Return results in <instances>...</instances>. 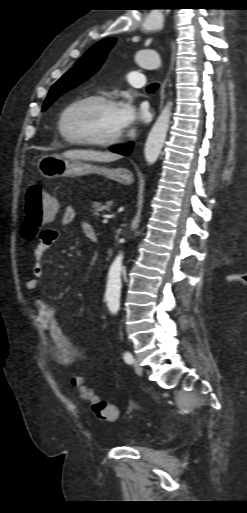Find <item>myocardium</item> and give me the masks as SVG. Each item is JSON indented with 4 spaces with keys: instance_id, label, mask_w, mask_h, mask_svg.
<instances>
[{
    "instance_id": "f54148a6",
    "label": "myocardium",
    "mask_w": 247,
    "mask_h": 513,
    "mask_svg": "<svg viewBox=\"0 0 247 513\" xmlns=\"http://www.w3.org/2000/svg\"><path fill=\"white\" fill-rule=\"evenodd\" d=\"M85 102H101L110 105H116L115 100L107 95L103 94H89L75 99L74 101L68 103L63 107L60 111L57 118V129L61 136L65 138L68 142L79 145H88V146H96V147H107L118 143L122 137L123 132L120 131L117 134L104 138V139H90L83 137H73L69 135L64 129V121L68 112L76 105L85 103Z\"/></svg>"
}]
</instances>
